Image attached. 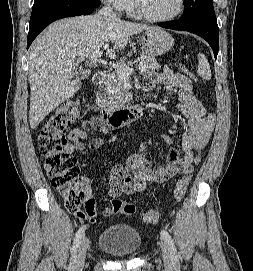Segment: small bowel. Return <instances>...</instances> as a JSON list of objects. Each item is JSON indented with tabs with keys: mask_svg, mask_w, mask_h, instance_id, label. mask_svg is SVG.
<instances>
[{
	"mask_svg": "<svg viewBox=\"0 0 253 271\" xmlns=\"http://www.w3.org/2000/svg\"><path fill=\"white\" fill-rule=\"evenodd\" d=\"M191 75L176 73L169 69L163 72L150 74L146 78V87L153 88L157 84L175 87L178 90L180 102L177 104L179 112L187 118L185 132L182 138L183 156L171 148L167 154V162L153 164L143 155H131L123 164H116L108 175L109 196L117 198L121 194L132 195L145 190L149 181L164 182L181 172L191 175L194 165L200 161V153L206 147L215 126V116L208 113L204 105L196 98L192 91ZM96 132L106 134L108 128L95 120L83 121L80 127L72 129L68 134L69 143L66 151L70 154L84 150V141L88 140ZM166 144H171V139L165 134L159 136ZM105 144V139L92 137L89 139L90 149H98ZM152 140H145L140 145L141 153L150 149ZM100 214L109 217L113 214L110 207H105ZM97 212H91V217H96Z\"/></svg>",
	"mask_w": 253,
	"mask_h": 271,
	"instance_id": "small-bowel-1",
	"label": "small bowel"
}]
</instances>
